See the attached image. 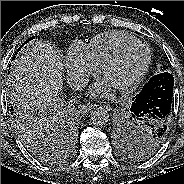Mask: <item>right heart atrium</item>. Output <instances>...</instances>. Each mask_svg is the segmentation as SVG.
Wrapping results in <instances>:
<instances>
[{
  "label": "right heart atrium",
  "instance_id": "right-heart-atrium-1",
  "mask_svg": "<svg viewBox=\"0 0 184 184\" xmlns=\"http://www.w3.org/2000/svg\"><path fill=\"white\" fill-rule=\"evenodd\" d=\"M65 66L70 82L81 86L98 73L99 67L90 57L87 47L81 42L70 45L65 56Z\"/></svg>",
  "mask_w": 184,
  "mask_h": 184
}]
</instances>
